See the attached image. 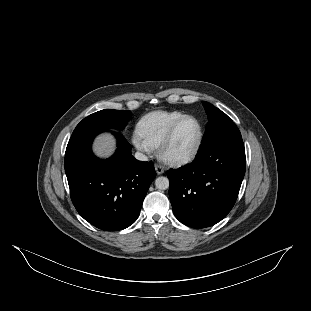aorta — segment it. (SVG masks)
<instances>
[{"mask_svg":"<svg viewBox=\"0 0 311 311\" xmlns=\"http://www.w3.org/2000/svg\"><path fill=\"white\" fill-rule=\"evenodd\" d=\"M155 186L157 189L166 190L169 188V179L164 176H159L155 179Z\"/></svg>","mask_w":311,"mask_h":311,"instance_id":"obj_1","label":"aorta"}]
</instances>
